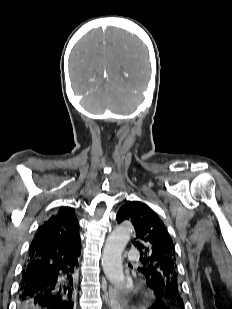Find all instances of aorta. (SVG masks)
<instances>
[{
    "mask_svg": "<svg viewBox=\"0 0 232 309\" xmlns=\"http://www.w3.org/2000/svg\"><path fill=\"white\" fill-rule=\"evenodd\" d=\"M130 227H116L107 237L102 256V267L107 279L116 286L122 287L125 276L122 266V253L130 240Z\"/></svg>",
    "mask_w": 232,
    "mask_h": 309,
    "instance_id": "762f6f07",
    "label": "aorta"
}]
</instances>
